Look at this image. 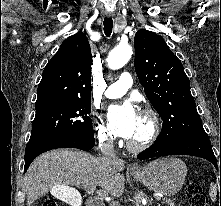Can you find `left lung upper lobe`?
I'll return each mask as SVG.
<instances>
[{
    "instance_id": "left-lung-upper-lobe-1",
    "label": "left lung upper lobe",
    "mask_w": 221,
    "mask_h": 206,
    "mask_svg": "<svg viewBox=\"0 0 221 206\" xmlns=\"http://www.w3.org/2000/svg\"><path fill=\"white\" fill-rule=\"evenodd\" d=\"M134 44L135 71L147 98L163 120L161 133L155 142L209 139L180 60L165 41L151 31H137Z\"/></svg>"
}]
</instances>
